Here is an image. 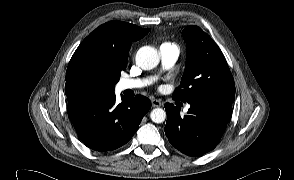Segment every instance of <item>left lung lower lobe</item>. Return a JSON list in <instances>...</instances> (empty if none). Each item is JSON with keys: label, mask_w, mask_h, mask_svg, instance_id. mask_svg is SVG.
Instances as JSON below:
<instances>
[{"label": "left lung lower lobe", "mask_w": 294, "mask_h": 180, "mask_svg": "<svg viewBox=\"0 0 294 180\" xmlns=\"http://www.w3.org/2000/svg\"><path fill=\"white\" fill-rule=\"evenodd\" d=\"M188 114L180 116L178 107L166 103L167 122L164 128L169 142L190 156H201L219 143L229 122L232 103L190 101Z\"/></svg>", "instance_id": "obj_1"}]
</instances>
